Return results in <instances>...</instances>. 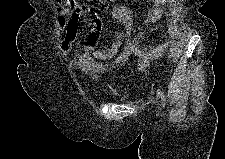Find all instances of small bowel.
Wrapping results in <instances>:
<instances>
[{"mask_svg": "<svg viewBox=\"0 0 225 159\" xmlns=\"http://www.w3.org/2000/svg\"><path fill=\"white\" fill-rule=\"evenodd\" d=\"M163 5L162 1L155 3L152 12L153 19L161 15ZM112 14L121 25L122 30L115 42L106 50L97 49L102 32V22L92 7L69 4L65 8L59 9L56 15L55 35L63 34L59 42V49L62 53H67L74 43L80 28L81 18L83 16L90 18L92 27L88 31L81 59L95 81L99 80L101 74L110 73L119 68L131 55L138 57L135 71L143 72L148 67L150 60L161 55L167 46L166 43H162L151 47L148 51L142 50L140 47L141 36L133 35L131 12L121 5H115L112 7ZM124 40H126V45L123 53L119 57L113 58ZM128 76L127 73L123 78Z\"/></svg>", "mask_w": 225, "mask_h": 159, "instance_id": "1", "label": "small bowel"}]
</instances>
